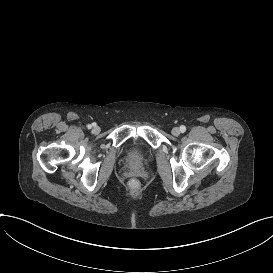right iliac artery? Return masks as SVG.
I'll use <instances>...</instances> for the list:
<instances>
[{"instance_id":"82829eb1","label":"right iliac artery","mask_w":273,"mask_h":273,"mask_svg":"<svg viewBox=\"0 0 273 273\" xmlns=\"http://www.w3.org/2000/svg\"><path fill=\"white\" fill-rule=\"evenodd\" d=\"M92 126H96V124H95V123H93V124H89L87 127H88V129H91V128H92Z\"/></svg>"}]
</instances>
